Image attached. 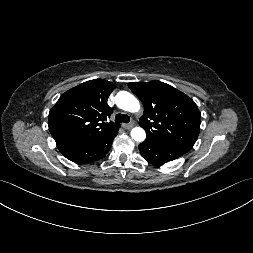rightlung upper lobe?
Here are the masks:
<instances>
[{
    "instance_id": "obj_1",
    "label": "right lung upper lobe",
    "mask_w": 253,
    "mask_h": 253,
    "mask_svg": "<svg viewBox=\"0 0 253 253\" xmlns=\"http://www.w3.org/2000/svg\"><path fill=\"white\" fill-rule=\"evenodd\" d=\"M116 84L104 79L86 81L60 96L49 112V131L62 154L118 130L106 122L113 112L107 100Z\"/></svg>"
}]
</instances>
